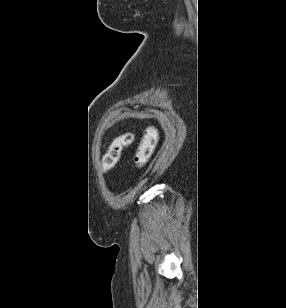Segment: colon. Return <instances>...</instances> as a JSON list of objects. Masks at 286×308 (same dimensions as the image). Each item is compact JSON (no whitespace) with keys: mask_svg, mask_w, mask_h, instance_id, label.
Returning <instances> with one entry per match:
<instances>
[{"mask_svg":"<svg viewBox=\"0 0 286 308\" xmlns=\"http://www.w3.org/2000/svg\"><path fill=\"white\" fill-rule=\"evenodd\" d=\"M134 140L135 135L132 132H127L116 137L102 158V169L104 171L113 169L120 159L122 150L130 146ZM154 145L155 141L151 138L145 139L141 142L134 158L135 168L137 170H140L147 165L152 157Z\"/></svg>","mask_w":286,"mask_h":308,"instance_id":"1","label":"colon"}]
</instances>
